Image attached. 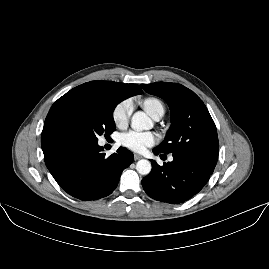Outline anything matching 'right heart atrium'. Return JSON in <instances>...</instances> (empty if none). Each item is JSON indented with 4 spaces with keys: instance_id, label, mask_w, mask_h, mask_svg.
Returning <instances> with one entry per match:
<instances>
[{
    "instance_id": "1",
    "label": "right heart atrium",
    "mask_w": 269,
    "mask_h": 269,
    "mask_svg": "<svg viewBox=\"0 0 269 269\" xmlns=\"http://www.w3.org/2000/svg\"><path fill=\"white\" fill-rule=\"evenodd\" d=\"M132 111H133V104L130 99H124L120 101L114 107L112 112V118L114 124L119 128L124 127L128 123Z\"/></svg>"
}]
</instances>
